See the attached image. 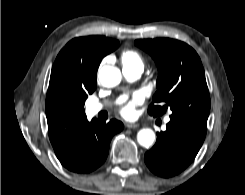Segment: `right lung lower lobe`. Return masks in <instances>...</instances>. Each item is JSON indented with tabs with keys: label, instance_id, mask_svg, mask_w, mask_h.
Here are the masks:
<instances>
[{
	"label": "right lung lower lobe",
	"instance_id": "1",
	"mask_svg": "<svg viewBox=\"0 0 245 195\" xmlns=\"http://www.w3.org/2000/svg\"><path fill=\"white\" fill-rule=\"evenodd\" d=\"M122 129V122L115 119L109 123L97 119L87 121L69 144L55 151L56 156L69 171L90 173L104 163L113 135Z\"/></svg>",
	"mask_w": 245,
	"mask_h": 195
}]
</instances>
